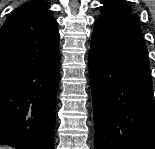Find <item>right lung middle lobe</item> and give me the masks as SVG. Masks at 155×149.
<instances>
[{
  "instance_id": "right-lung-middle-lobe-1",
  "label": "right lung middle lobe",
  "mask_w": 155,
  "mask_h": 149,
  "mask_svg": "<svg viewBox=\"0 0 155 149\" xmlns=\"http://www.w3.org/2000/svg\"><path fill=\"white\" fill-rule=\"evenodd\" d=\"M10 77H12V76H0V82L4 81V80H6V79H8Z\"/></svg>"
}]
</instances>
